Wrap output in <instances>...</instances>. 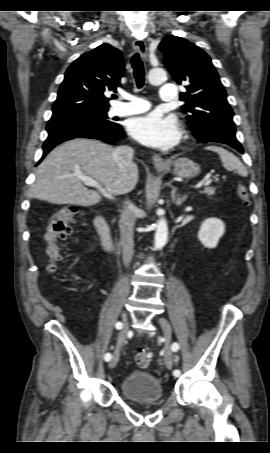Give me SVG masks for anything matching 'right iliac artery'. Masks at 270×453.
Listing matches in <instances>:
<instances>
[{"label":"right iliac artery","mask_w":270,"mask_h":453,"mask_svg":"<svg viewBox=\"0 0 270 453\" xmlns=\"http://www.w3.org/2000/svg\"><path fill=\"white\" fill-rule=\"evenodd\" d=\"M115 326H116L117 329H121L122 328V323L121 322H117ZM111 358H112V355L110 353H106L105 356H104L105 361H110Z\"/></svg>","instance_id":"1"}]
</instances>
